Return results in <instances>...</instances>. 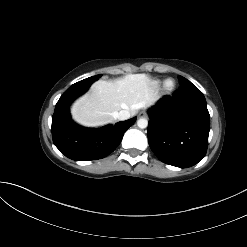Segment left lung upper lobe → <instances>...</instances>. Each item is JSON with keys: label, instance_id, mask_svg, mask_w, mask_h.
Segmentation results:
<instances>
[{"label": "left lung upper lobe", "instance_id": "1", "mask_svg": "<svg viewBox=\"0 0 247 247\" xmlns=\"http://www.w3.org/2000/svg\"><path fill=\"white\" fill-rule=\"evenodd\" d=\"M179 80H180V85H184V84H189L191 83L190 81H188L186 78L182 77V76H179L178 77Z\"/></svg>", "mask_w": 247, "mask_h": 247}]
</instances>
